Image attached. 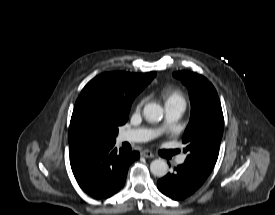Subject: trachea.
Returning <instances> with one entry per match:
<instances>
[{
    "label": "trachea",
    "instance_id": "1",
    "mask_svg": "<svg viewBox=\"0 0 275 215\" xmlns=\"http://www.w3.org/2000/svg\"><path fill=\"white\" fill-rule=\"evenodd\" d=\"M176 153H178V151H177V150L173 151V154H176Z\"/></svg>",
    "mask_w": 275,
    "mask_h": 215
}]
</instances>
